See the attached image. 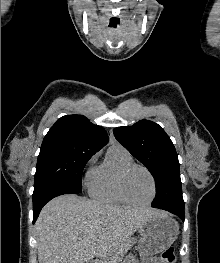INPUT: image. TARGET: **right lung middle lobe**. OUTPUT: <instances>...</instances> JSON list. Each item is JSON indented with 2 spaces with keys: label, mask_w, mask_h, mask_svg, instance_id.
Segmentation results:
<instances>
[{
  "label": "right lung middle lobe",
  "mask_w": 220,
  "mask_h": 263,
  "mask_svg": "<svg viewBox=\"0 0 220 263\" xmlns=\"http://www.w3.org/2000/svg\"><path fill=\"white\" fill-rule=\"evenodd\" d=\"M94 154V152L63 149L40 151L36 166L34 193L48 187L81 190L82 171Z\"/></svg>",
  "instance_id": "1"
}]
</instances>
